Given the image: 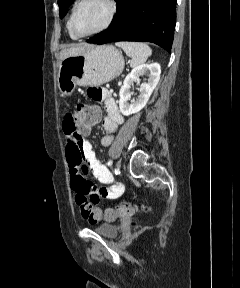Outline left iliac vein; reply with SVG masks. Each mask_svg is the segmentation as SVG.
<instances>
[{"mask_svg":"<svg viewBox=\"0 0 240 288\" xmlns=\"http://www.w3.org/2000/svg\"><path fill=\"white\" fill-rule=\"evenodd\" d=\"M121 169V162L117 161L116 163V170L119 171Z\"/></svg>","mask_w":240,"mask_h":288,"instance_id":"4c4485c4","label":"left iliac vein"}]
</instances>
